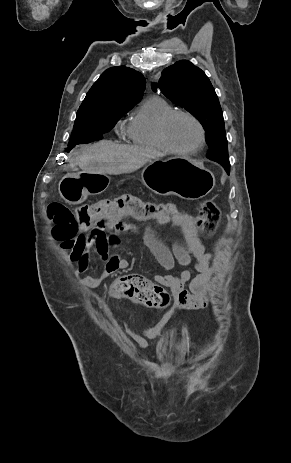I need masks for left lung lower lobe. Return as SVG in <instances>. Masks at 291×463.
Returning <instances> with one entry per match:
<instances>
[{
  "label": "left lung lower lobe",
  "mask_w": 291,
  "mask_h": 463,
  "mask_svg": "<svg viewBox=\"0 0 291 463\" xmlns=\"http://www.w3.org/2000/svg\"><path fill=\"white\" fill-rule=\"evenodd\" d=\"M216 162L221 164L224 167V169L226 170L227 173L230 172V163L225 162V161H221V160H217Z\"/></svg>",
  "instance_id": "0a47b994"
}]
</instances>
